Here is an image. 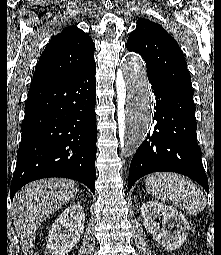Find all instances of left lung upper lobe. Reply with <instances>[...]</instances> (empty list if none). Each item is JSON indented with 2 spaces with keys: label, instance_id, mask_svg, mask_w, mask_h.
Listing matches in <instances>:
<instances>
[{
  "label": "left lung upper lobe",
  "instance_id": "obj_1",
  "mask_svg": "<svg viewBox=\"0 0 221 255\" xmlns=\"http://www.w3.org/2000/svg\"><path fill=\"white\" fill-rule=\"evenodd\" d=\"M126 47L143 57L148 77H154L193 95L183 53L178 43L161 25L145 18L138 19L137 27L130 33Z\"/></svg>",
  "mask_w": 221,
  "mask_h": 255
}]
</instances>
